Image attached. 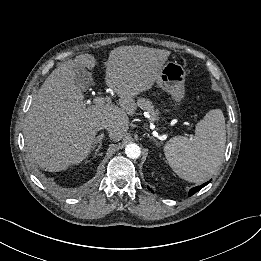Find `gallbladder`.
I'll return each instance as SVG.
<instances>
[{
    "instance_id": "1",
    "label": "gallbladder",
    "mask_w": 261,
    "mask_h": 261,
    "mask_svg": "<svg viewBox=\"0 0 261 261\" xmlns=\"http://www.w3.org/2000/svg\"><path fill=\"white\" fill-rule=\"evenodd\" d=\"M75 82L81 90H85L94 83L93 74L85 68L79 67L76 71Z\"/></svg>"
}]
</instances>
